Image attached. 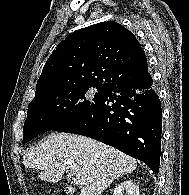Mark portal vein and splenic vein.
Here are the masks:
<instances>
[{
	"label": "portal vein and splenic vein",
	"instance_id": "1",
	"mask_svg": "<svg viewBox=\"0 0 189 195\" xmlns=\"http://www.w3.org/2000/svg\"><path fill=\"white\" fill-rule=\"evenodd\" d=\"M73 182H74V184L76 186H81V185L86 184V180H84V179H82V178H80L78 176H76V177L73 178Z\"/></svg>",
	"mask_w": 189,
	"mask_h": 195
}]
</instances>
